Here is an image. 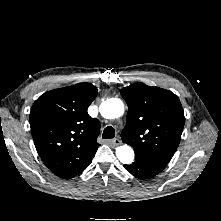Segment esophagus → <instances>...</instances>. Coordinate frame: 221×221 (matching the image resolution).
I'll list each match as a JSON object with an SVG mask.
<instances>
[{"mask_svg": "<svg viewBox=\"0 0 221 221\" xmlns=\"http://www.w3.org/2000/svg\"><path fill=\"white\" fill-rule=\"evenodd\" d=\"M110 142H111V144H112L114 147H117V146H119V145L122 144L121 140L118 139V138H114V139H112Z\"/></svg>", "mask_w": 221, "mask_h": 221, "instance_id": "34e87169", "label": "esophagus"}]
</instances>
